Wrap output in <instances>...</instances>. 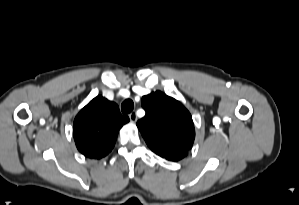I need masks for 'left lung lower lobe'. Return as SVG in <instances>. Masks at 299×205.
<instances>
[{
    "label": "left lung lower lobe",
    "mask_w": 299,
    "mask_h": 205,
    "mask_svg": "<svg viewBox=\"0 0 299 205\" xmlns=\"http://www.w3.org/2000/svg\"><path fill=\"white\" fill-rule=\"evenodd\" d=\"M188 150H167L159 156L171 161H178L187 155Z\"/></svg>",
    "instance_id": "1"
}]
</instances>
